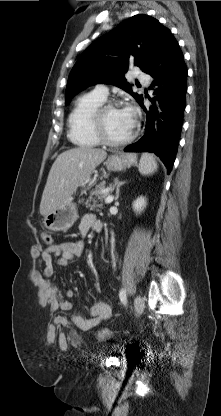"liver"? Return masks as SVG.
I'll return each mask as SVG.
<instances>
[{
	"mask_svg": "<svg viewBox=\"0 0 221 416\" xmlns=\"http://www.w3.org/2000/svg\"><path fill=\"white\" fill-rule=\"evenodd\" d=\"M107 157L101 149L79 147L61 153L53 163L40 203L46 216L64 205Z\"/></svg>",
	"mask_w": 221,
	"mask_h": 416,
	"instance_id": "1",
	"label": "liver"
}]
</instances>
